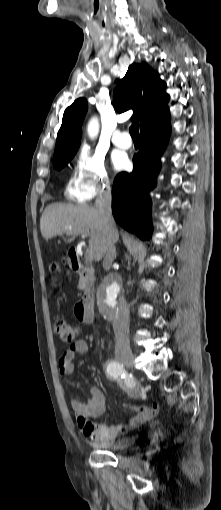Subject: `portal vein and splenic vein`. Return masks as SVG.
<instances>
[{
    "mask_svg": "<svg viewBox=\"0 0 221 510\" xmlns=\"http://www.w3.org/2000/svg\"><path fill=\"white\" fill-rule=\"evenodd\" d=\"M69 229H71V228H69ZM80 234H81L82 238L87 237V234L84 232H80ZM85 259H86V261H92L94 259V251L92 249H87L85 251Z\"/></svg>",
    "mask_w": 221,
    "mask_h": 510,
    "instance_id": "obj_1",
    "label": "portal vein and splenic vein"
}]
</instances>
